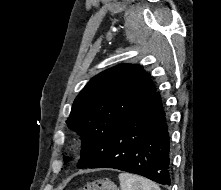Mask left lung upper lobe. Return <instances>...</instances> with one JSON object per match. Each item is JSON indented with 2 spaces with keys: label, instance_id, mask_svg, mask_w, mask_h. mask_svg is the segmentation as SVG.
Segmentation results:
<instances>
[{
  "label": "left lung upper lobe",
  "instance_id": "obj_1",
  "mask_svg": "<svg viewBox=\"0 0 221 190\" xmlns=\"http://www.w3.org/2000/svg\"><path fill=\"white\" fill-rule=\"evenodd\" d=\"M155 91L153 82L139 65L121 64L92 78L76 97L66 121L81 136L78 167H89L116 129Z\"/></svg>",
  "mask_w": 221,
  "mask_h": 190
}]
</instances>
